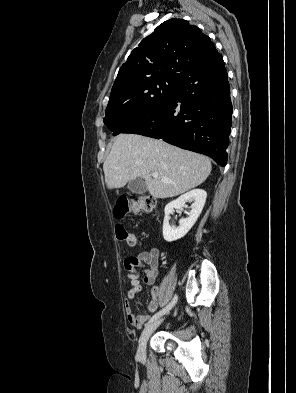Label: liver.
<instances>
[{
  "label": "liver",
  "instance_id": "6515ba94",
  "mask_svg": "<svg viewBox=\"0 0 296 393\" xmlns=\"http://www.w3.org/2000/svg\"><path fill=\"white\" fill-rule=\"evenodd\" d=\"M211 169L210 160L203 155L137 134L118 135L103 164L108 189L122 188L140 177L150 195L160 199L197 187L207 179ZM152 173L159 177L152 178Z\"/></svg>",
  "mask_w": 296,
  "mask_h": 393
}]
</instances>
